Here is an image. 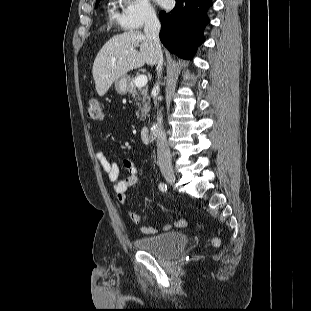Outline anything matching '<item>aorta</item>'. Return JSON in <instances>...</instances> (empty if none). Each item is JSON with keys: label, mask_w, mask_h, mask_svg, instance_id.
<instances>
[{"label": "aorta", "mask_w": 311, "mask_h": 311, "mask_svg": "<svg viewBox=\"0 0 311 311\" xmlns=\"http://www.w3.org/2000/svg\"><path fill=\"white\" fill-rule=\"evenodd\" d=\"M157 130H158V125L154 124L151 128H150V132H151V137L152 139L155 138L157 136Z\"/></svg>", "instance_id": "obj_1"}]
</instances>
